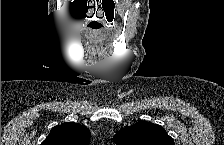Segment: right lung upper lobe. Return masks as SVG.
<instances>
[{"label": "right lung upper lobe", "mask_w": 224, "mask_h": 145, "mask_svg": "<svg viewBox=\"0 0 224 145\" xmlns=\"http://www.w3.org/2000/svg\"><path fill=\"white\" fill-rule=\"evenodd\" d=\"M90 135L87 127L67 122L53 127L41 145H88Z\"/></svg>", "instance_id": "right-lung-upper-lobe-1"}]
</instances>
